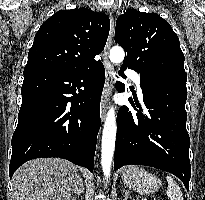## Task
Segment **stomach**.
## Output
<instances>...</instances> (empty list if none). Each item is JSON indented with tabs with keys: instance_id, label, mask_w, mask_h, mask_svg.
<instances>
[{
	"instance_id": "obj_1",
	"label": "stomach",
	"mask_w": 205,
	"mask_h": 200,
	"mask_svg": "<svg viewBox=\"0 0 205 200\" xmlns=\"http://www.w3.org/2000/svg\"><path fill=\"white\" fill-rule=\"evenodd\" d=\"M123 183L141 195L154 193L159 187V179L138 166H129L122 171Z\"/></svg>"
}]
</instances>
